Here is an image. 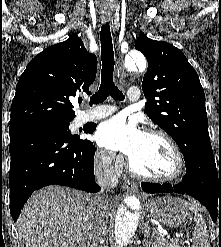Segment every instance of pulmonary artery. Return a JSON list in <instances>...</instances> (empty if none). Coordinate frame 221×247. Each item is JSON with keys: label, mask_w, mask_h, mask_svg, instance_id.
Listing matches in <instances>:
<instances>
[{"label": "pulmonary artery", "mask_w": 221, "mask_h": 247, "mask_svg": "<svg viewBox=\"0 0 221 247\" xmlns=\"http://www.w3.org/2000/svg\"><path fill=\"white\" fill-rule=\"evenodd\" d=\"M127 97L130 101H137L140 98V90L136 87L129 89ZM116 111V108L99 106L81 113V122L105 118Z\"/></svg>", "instance_id": "e3ab8cb5"}]
</instances>
